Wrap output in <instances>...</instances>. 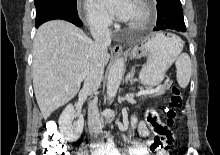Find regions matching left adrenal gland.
<instances>
[{"label": "left adrenal gland", "mask_w": 220, "mask_h": 155, "mask_svg": "<svg viewBox=\"0 0 220 155\" xmlns=\"http://www.w3.org/2000/svg\"><path fill=\"white\" fill-rule=\"evenodd\" d=\"M135 73V67H133L130 72L125 77V83H130V85H133L136 79L134 78Z\"/></svg>", "instance_id": "a2214340"}]
</instances>
